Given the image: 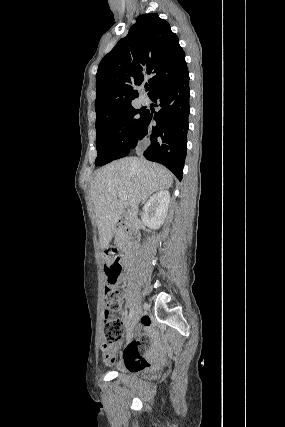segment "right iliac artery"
Segmentation results:
<instances>
[{"label": "right iliac artery", "instance_id": "obj_1", "mask_svg": "<svg viewBox=\"0 0 285 427\" xmlns=\"http://www.w3.org/2000/svg\"><path fill=\"white\" fill-rule=\"evenodd\" d=\"M134 308L132 307L131 309H130V312H129V316H128V323L131 321V319H132V317H133V315H134Z\"/></svg>", "mask_w": 285, "mask_h": 427}]
</instances>
